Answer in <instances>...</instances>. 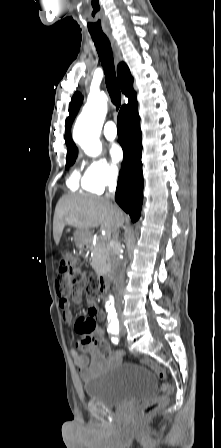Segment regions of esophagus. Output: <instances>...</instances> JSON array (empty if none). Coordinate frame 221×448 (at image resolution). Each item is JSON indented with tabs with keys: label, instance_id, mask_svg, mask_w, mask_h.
Masks as SVG:
<instances>
[{
	"label": "esophagus",
	"instance_id": "1",
	"mask_svg": "<svg viewBox=\"0 0 221 448\" xmlns=\"http://www.w3.org/2000/svg\"><path fill=\"white\" fill-rule=\"evenodd\" d=\"M108 38L110 40V43H111V46H112V49L114 52L115 60L118 63L121 60V53H120L119 47L112 35H108Z\"/></svg>",
	"mask_w": 221,
	"mask_h": 448
}]
</instances>
